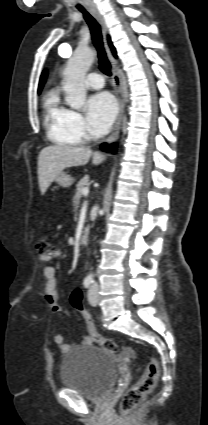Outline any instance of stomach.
<instances>
[{
  "mask_svg": "<svg viewBox=\"0 0 208 425\" xmlns=\"http://www.w3.org/2000/svg\"><path fill=\"white\" fill-rule=\"evenodd\" d=\"M75 179L73 177H71L70 175H68L65 172H61L56 178H55V182L64 187H70L73 183H74Z\"/></svg>",
  "mask_w": 208,
  "mask_h": 425,
  "instance_id": "obj_1",
  "label": "stomach"
}]
</instances>
